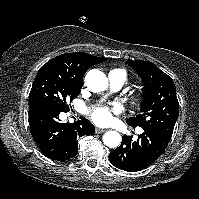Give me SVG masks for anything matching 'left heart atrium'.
<instances>
[{"label":"left heart atrium","mask_w":199,"mask_h":199,"mask_svg":"<svg viewBox=\"0 0 199 199\" xmlns=\"http://www.w3.org/2000/svg\"><path fill=\"white\" fill-rule=\"evenodd\" d=\"M113 110L106 106H99L94 108L90 117L92 121L99 125H106L112 120Z\"/></svg>","instance_id":"1"}]
</instances>
